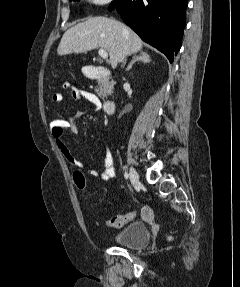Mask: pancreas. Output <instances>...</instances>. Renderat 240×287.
Instances as JSON below:
<instances>
[{"instance_id":"cf45deb5","label":"pancreas","mask_w":240,"mask_h":287,"mask_svg":"<svg viewBox=\"0 0 240 287\" xmlns=\"http://www.w3.org/2000/svg\"><path fill=\"white\" fill-rule=\"evenodd\" d=\"M114 84L115 82L113 80L111 82H109L108 80H100L98 83V87L96 88L98 95L101 98H105L112 92Z\"/></svg>"}]
</instances>
